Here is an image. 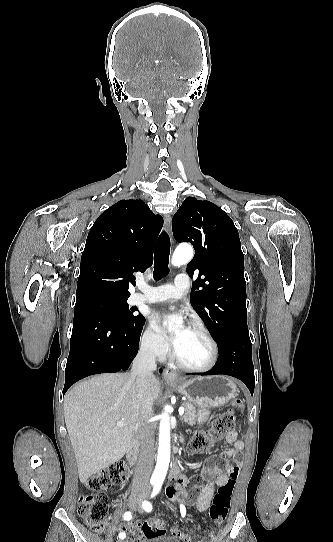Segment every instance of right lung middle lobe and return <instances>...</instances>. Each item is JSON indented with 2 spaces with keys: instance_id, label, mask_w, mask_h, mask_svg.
Returning a JSON list of instances; mask_svg holds the SVG:
<instances>
[{
  "instance_id": "dd1d6c3e",
  "label": "right lung middle lobe",
  "mask_w": 333,
  "mask_h": 542,
  "mask_svg": "<svg viewBox=\"0 0 333 542\" xmlns=\"http://www.w3.org/2000/svg\"><path fill=\"white\" fill-rule=\"evenodd\" d=\"M82 301L92 302L101 306L115 320L122 322L130 327L140 326L145 322L142 314L136 315L137 310L129 307L127 298H118L107 293H93L85 297Z\"/></svg>"
}]
</instances>
